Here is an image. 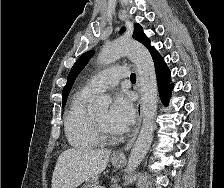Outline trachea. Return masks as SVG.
<instances>
[{"mask_svg": "<svg viewBox=\"0 0 224 188\" xmlns=\"http://www.w3.org/2000/svg\"><path fill=\"white\" fill-rule=\"evenodd\" d=\"M130 79L132 82H136V75L134 73L131 74Z\"/></svg>", "mask_w": 224, "mask_h": 188, "instance_id": "trachea-1", "label": "trachea"}]
</instances>
